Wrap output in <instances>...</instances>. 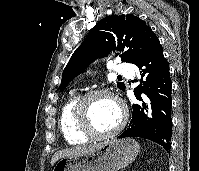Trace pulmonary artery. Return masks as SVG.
I'll return each mask as SVG.
<instances>
[{
	"label": "pulmonary artery",
	"mask_w": 199,
	"mask_h": 171,
	"mask_svg": "<svg viewBox=\"0 0 199 171\" xmlns=\"http://www.w3.org/2000/svg\"><path fill=\"white\" fill-rule=\"evenodd\" d=\"M114 73L122 76H133V70L130 64L118 63L113 68Z\"/></svg>",
	"instance_id": "obj_1"
}]
</instances>
